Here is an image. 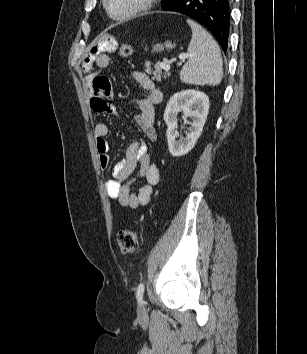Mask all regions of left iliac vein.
I'll return each mask as SVG.
<instances>
[{"label":"left iliac vein","mask_w":307,"mask_h":354,"mask_svg":"<svg viewBox=\"0 0 307 354\" xmlns=\"http://www.w3.org/2000/svg\"><path fill=\"white\" fill-rule=\"evenodd\" d=\"M139 313H140V315H145V313H146L145 303H143V302L140 304Z\"/></svg>","instance_id":"left-iliac-vein-1"}]
</instances>
